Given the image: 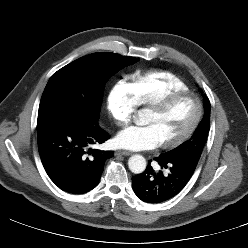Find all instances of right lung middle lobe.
<instances>
[{"label":"right lung middle lobe","instance_id":"obj_1","mask_svg":"<svg viewBox=\"0 0 248 248\" xmlns=\"http://www.w3.org/2000/svg\"><path fill=\"white\" fill-rule=\"evenodd\" d=\"M137 58L101 52L81 57L49 79L42 94L38 118L64 116L97 122L106 82Z\"/></svg>","mask_w":248,"mask_h":248}]
</instances>
